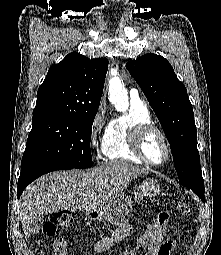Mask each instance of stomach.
<instances>
[{
	"instance_id": "1",
	"label": "stomach",
	"mask_w": 221,
	"mask_h": 255,
	"mask_svg": "<svg viewBox=\"0 0 221 255\" xmlns=\"http://www.w3.org/2000/svg\"><path fill=\"white\" fill-rule=\"evenodd\" d=\"M160 193L157 180L147 178L141 182L135 193V201L141 203L145 197H155ZM133 202L131 198L123 193L118 194L101 209L91 213L94 219H105L111 224L122 226L129 222L132 217Z\"/></svg>"
}]
</instances>
